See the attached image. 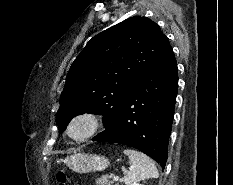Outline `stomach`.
Masks as SVG:
<instances>
[{"mask_svg":"<svg viewBox=\"0 0 233 185\" xmlns=\"http://www.w3.org/2000/svg\"><path fill=\"white\" fill-rule=\"evenodd\" d=\"M69 169L77 173H88L92 171H102L109 165V161L104 156L96 154L75 153L64 160Z\"/></svg>","mask_w":233,"mask_h":185,"instance_id":"obj_1","label":"stomach"}]
</instances>
